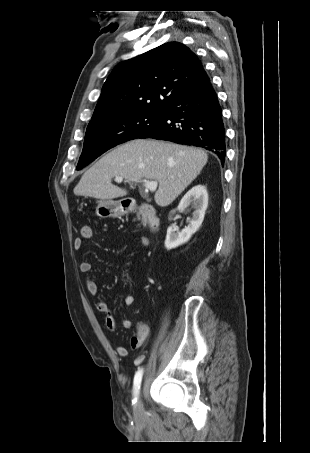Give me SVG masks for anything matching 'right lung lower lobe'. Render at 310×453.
<instances>
[{
	"instance_id": "98d812e1",
	"label": "right lung lower lobe",
	"mask_w": 310,
	"mask_h": 453,
	"mask_svg": "<svg viewBox=\"0 0 310 453\" xmlns=\"http://www.w3.org/2000/svg\"><path fill=\"white\" fill-rule=\"evenodd\" d=\"M203 147L215 153L223 165L226 155L222 109L205 73L188 91L163 109L161 120L139 136Z\"/></svg>"
}]
</instances>
